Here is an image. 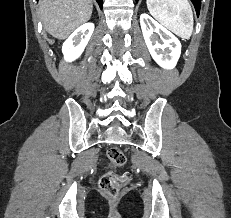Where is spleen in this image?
<instances>
[{"instance_id": "1", "label": "spleen", "mask_w": 231, "mask_h": 218, "mask_svg": "<svg viewBox=\"0 0 231 218\" xmlns=\"http://www.w3.org/2000/svg\"><path fill=\"white\" fill-rule=\"evenodd\" d=\"M150 14L183 39L193 32V12L188 0H146Z\"/></svg>"}]
</instances>
